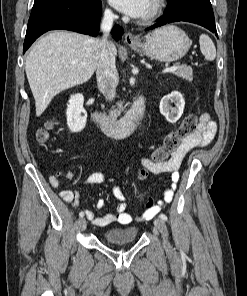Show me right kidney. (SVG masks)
<instances>
[{
    "label": "right kidney",
    "instance_id": "ca27d5eb",
    "mask_svg": "<svg viewBox=\"0 0 247 296\" xmlns=\"http://www.w3.org/2000/svg\"><path fill=\"white\" fill-rule=\"evenodd\" d=\"M84 97L82 94L71 95L67 110V125L72 132H80L85 128L87 112L83 108Z\"/></svg>",
    "mask_w": 247,
    "mask_h": 296
}]
</instances>
